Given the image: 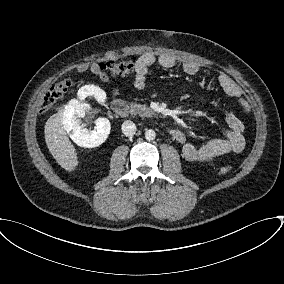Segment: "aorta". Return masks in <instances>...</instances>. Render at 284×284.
<instances>
[{"label": "aorta", "mask_w": 284, "mask_h": 284, "mask_svg": "<svg viewBox=\"0 0 284 284\" xmlns=\"http://www.w3.org/2000/svg\"><path fill=\"white\" fill-rule=\"evenodd\" d=\"M156 137V133L154 130L152 129H149V130H146L145 132V139L148 140V141H151V140H154Z\"/></svg>", "instance_id": "1"}]
</instances>
